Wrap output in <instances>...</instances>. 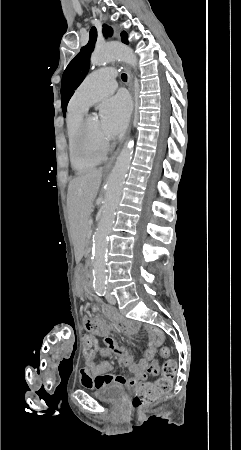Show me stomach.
I'll return each instance as SVG.
<instances>
[{
  "mask_svg": "<svg viewBox=\"0 0 241 450\" xmlns=\"http://www.w3.org/2000/svg\"><path fill=\"white\" fill-rule=\"evenodd\" d=\"M84 282H85V276H84L83 269H82L81 265H78V266L76 267V270H75V277H74L75 287H76L79 291H82L83 286H84Z\"/></svg>",
  "mask_w": 241,
  "mask_h": 450,
  "instance_id": "stomach-1",
  "label": "stomach"
}]
</instances>
